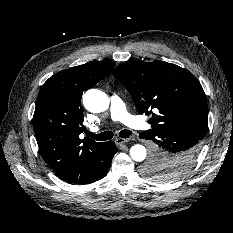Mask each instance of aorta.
Masks as SVG:
<instances>
[{"instance_id":"obj_1","label":"aorta","mask_w":233,"mask_h":233,"mask_svg":"<svg viewBox=\"0 0 233 233\" xmlns=\"http://www.w3.org/2000/svg\"><path fill=\"white\" fill-rule=\"evenodd\" d=\"M83 103L88 111L100 113L108 109L109 98L100 90L90 89L84 94ZM130 156L134 161L141 162L146 158V148L140 144L133 145L130 149Z\"/></svg>"}]
</instances>
